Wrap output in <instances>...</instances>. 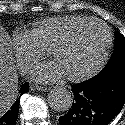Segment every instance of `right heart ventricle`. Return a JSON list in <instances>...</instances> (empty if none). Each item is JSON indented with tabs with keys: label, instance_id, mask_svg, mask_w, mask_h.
I'll return each instance as SVG.
<instances>
[{
	"label": "right heart ventricle",
	"instance_id": "right-heart-ventricle-1",
	"mask_svg": "<svg viewBox=\"0 0 125 125\" xmlns=\"http://www.w3.org/2000/svg\"><path fill=\"white\" fill-rule=\"evenodd\" d=\"M91 18L82 16H58L39 20L34 23L32 33L38 43L46 50L74 25Z\"/></svg>",
	"mask_w": 125,
	"mask_h": 125
}]
</instances>
